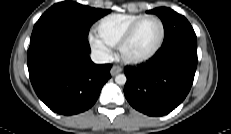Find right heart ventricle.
Segmentation results:
<instances>
[{"instance_id": "right-heart-ventricle-1", "label": "right heart ventricle", "mask_w": 231, "mask_h": 134, "mask_svg": "<svg viewBox=\"0 0 231 134\" xmlns=\"http://www.w3.org/2000/svg\"><path fill=\"white\" fill-rule=\"evenodd\" d=\"M143 14L116 13L103 17L96 25L98 36L110 46H117L123 35Z\"/></svg>"}]
</instances>
